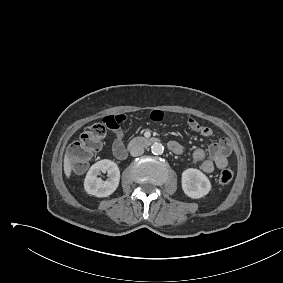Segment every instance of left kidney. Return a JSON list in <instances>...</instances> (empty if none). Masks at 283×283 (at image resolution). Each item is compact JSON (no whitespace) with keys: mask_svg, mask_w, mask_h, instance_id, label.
I'll return each instance as SVG.
<instances>
[{"mask_svg":"<svg viewBox=\"0 0 283 283\" xmlns=\"http://www.w3.org/2000/svg\"><path fill=\"white\" fill-rule=\"evenodd\" d=\"M182 189L188 197L199 199L210 192L211 183L200 170L188 168L182 173Z\"/></svg>","mask_w":283,"mask_h":283,"instance_id":"1","label":"left kidney"}]
</instances>
